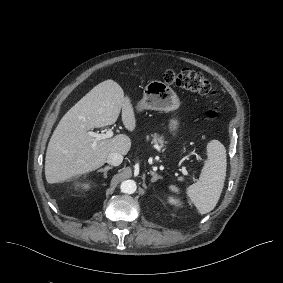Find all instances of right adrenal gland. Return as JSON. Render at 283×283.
<instances>
[{
    "mask_svg": "<svg viewBox=\"0 0 283 283\" xmlns=\"http://www.w3.org/2000/svg\"><path fill=\"white\" fill-rule=\"evenodd\" d=\"M110 169L112 170L113 167L106 166V167H104V168L98 169V171L104 172V177L107 178V177H108V170H110Z\"/></svg>",
    "mask_w": 283,
    "mask_h": 283,
    "instance_id": "2a0ac1e0",
    "label": "right adrenal gland"
}]
</instances>
